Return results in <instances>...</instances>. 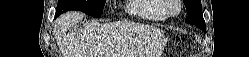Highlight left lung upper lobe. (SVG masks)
Masks as SVG:
<instances>
[{
	"label": "left lung upper lobe",
	"instance_id": "left-lung-upper-lobe-1",
	"mask_svg": "<svg viewBox=\"0 0 249 57\" xmlns=\"http://www.w3.org/2000/svg\"><path fill=\"white\" fill-rule=\"evenodd\" d=\"M186 6L188 16L185 22L189 24H194L202 30H206L205 21L203 19V13L201 9L200 0H183Z\"/></svg>",
	"mask_w": 249,
	"mask_h": 57
}]
</instances>
